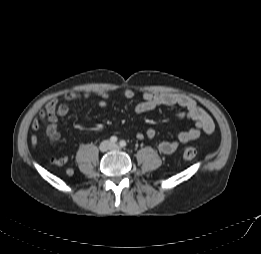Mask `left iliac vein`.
<instances>
[{
	"label": "left iliac vein",
	"mask_w": 261,
	"mask_h": 254,
	"mask_svg": "<svg viewBox=\"0 0 261 254\" xmlns=\"http://www.w3.org/2000/svg\"><path fill=\"white\" fill-rule=\"evenodd\" d=\"M111 149H119V146L117 144H112Z\"/></svg>",
	"instance_id": "4c4485c4"
}]
</instances>
